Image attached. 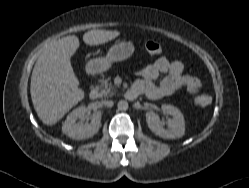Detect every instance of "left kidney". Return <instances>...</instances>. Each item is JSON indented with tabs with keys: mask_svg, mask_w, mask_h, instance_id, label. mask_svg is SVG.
Instances as JSON below:
<instances>
[{
	"mask_svg": "<svg viewBox=\"0 0 249 188\" xmlns=\"http://www.w3.org/2000/svg\"><path fill=\"white\" fill-rule=\"evenodd\" d=\"M162 112L165 115H171L172 119L168 120V129L163 127L159 116L153 112L146 114V121L149 129L156 135L166 138H180L185 133V121L180 110L172 105H162Z\"/></svg>",
	"mask_w": 249,
	"mask_h": 188,
	"instance_id": "left-kidney-1",
	"label": "left kidney"
}]
</instances>
